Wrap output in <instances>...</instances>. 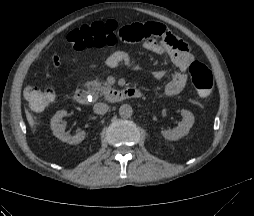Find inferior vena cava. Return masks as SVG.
<instances>
[{"instance_id":"obj_1","label":"inferior vena cava","mask_w":254,"mask_h":216,"mask_svg":"<svg viewBox=\"0 0 254 216\" xmlns=\"http://www.w3.org/2000/svg\"><path fill=\"white\" fill-rule=\"evenodd\" d=\"M109 109V106L106 103H96L93 107V111L95 114L104 115Z\"/></svg>"}]
</instances>
